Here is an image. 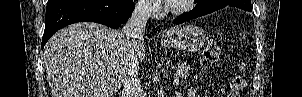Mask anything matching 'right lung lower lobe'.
<instances>
[{
	"instance_id": "obj_1",
	"label": "right lung lower lobe",
	"mask_w": 302,
	"mask_h": 97,
	"mask_svg": "<svg viewBox=\"0 0 302 97\" xmlns=\"http://www.w3.org/2000/svg\"><path fill=\"white\" fill-rule=\"evenodd\" d=\"M133 10V0H49L41 48L64 26L91 21L118 28Z\"/></svg>"
}]
</instances>
